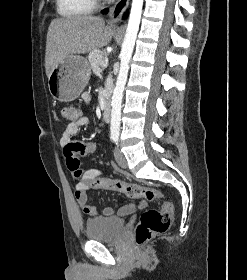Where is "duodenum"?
Masks as SVG:
<instances>
[{"mask_svg": "<svg viewBox=\"0 0 247 280\" xmlns=\"http://www.w3.org/2000/svg\"><path fill=\"white\" fill-rule=\"evenodd\" d=\"M102 116L105 121H109L111 118V104L108 100H106L103 104L102 108Z\"/></svg>", "mask_w": 247, "mask_h": 280, "instance_id": "obj_1", "label": "duodenum"}]
</instances>
